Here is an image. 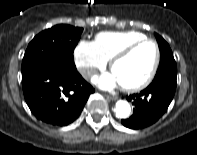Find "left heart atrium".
Segmentation results:
<instances>
[{
  "mask_svg": "<svg viewBox=\"0 0 197 155\" xmlns=\"http://www.w3.org/2000/svg\"><path fill=\"white\" fill-rule=\"evenodd\" d=\"M95 82H97L98 85L104 89H110L120 84L119 80L113 72L105 74L99 78H95Z\"/></svg>",
  "mask_w": 197,
  "mask_h": 155,
  "instance_id": "left-heart-atrium-1",
  "label": "left heart atrium"
}]
</instances>
